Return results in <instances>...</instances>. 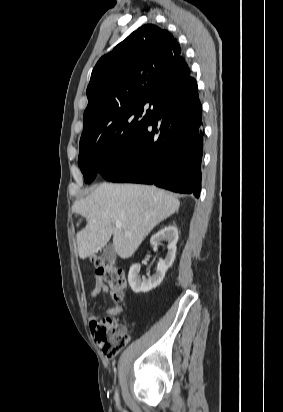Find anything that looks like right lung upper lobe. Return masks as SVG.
Here are the masks:
<instances>
[{
    "label": "right lung upper lobe",
    "mask_w": 283,
    "mask_h": 412,
    "mask_svg": "<svg viewBox=\"0 0 283 412\" xmlns=\"http://www.w3.org/2000/svg\"><path fill=\"white\" fill-rule=\"evenodd\" d=\"M187 77L190 69L177 40L155 25L142 26L94 67L81 138L103 131L134 105L159 103Z\"/></svg>",
    "instance_id": "1"
}]
</instances>
